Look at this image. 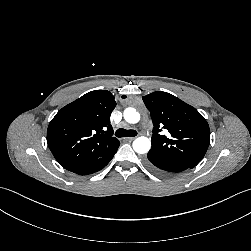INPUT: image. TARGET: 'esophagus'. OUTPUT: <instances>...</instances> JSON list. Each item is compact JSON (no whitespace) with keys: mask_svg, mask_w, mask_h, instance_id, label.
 Listing matches in <instances>:
<instances>
[{"mask_svg":"<svg viewBox=\"0 0 251 251\" xmlns=\"http://www.w3.org/2000/svg\"><path fill=\"white\" fill-rule=\"evenodd\" d=\"M136 137H127L125 138L126 141H133Z\"/></svg>","mask_w":251,"mask_h":251,"instance_id":"obj_1","label":"esophagus"}]
</instances>
